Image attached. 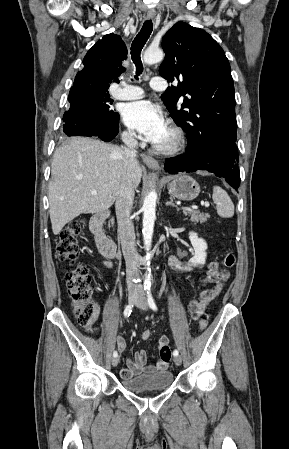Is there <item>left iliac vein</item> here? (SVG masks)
I'll return each mask as SVG.
<instances>
[{
    "label": "left iliac vein",
    "mask_w": 289,
    "mask_h": 449,
    "mask_svg": "<svg viewBox=\"0 0 289 449\" xmlns=\"http://www.w3.org/2000/svg\"><path fill=\"white\" fill-rule=\"evenodd\" d=\"M136 305H137V307L140 308V309H143V310L147 309L148 305H147V301H146L145 295H144L143 293H141V294L138 296V299H137V301H136ZM173 361H174V363H175L177 366H180V365L182 364V358H181V356H174Z\"/></svg>",
    "instance_id": "1"
}]
</instances>
